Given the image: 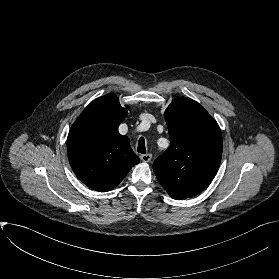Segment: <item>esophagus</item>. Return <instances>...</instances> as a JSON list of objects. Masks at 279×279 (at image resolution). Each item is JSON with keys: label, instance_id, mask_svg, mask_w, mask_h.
Masks as SVG:
<instances>
[{"label": "esophagus", "instance_id": "obj_1", "mask_svg": "<svg viewBox=\"0 0 279 279\" xmlns=\"http://www.w3.org/2000/svg\"><path fill=\"white\" fill-rule=\"evenodd\" d=\"M140 158H141V160L143 161V162H149L150 160H151V158H152V155L151 154H142L141 156H140Z\"/></svg>", "mask_w": 279, "mask_h": 279}]
</instances>
